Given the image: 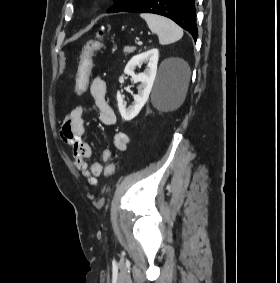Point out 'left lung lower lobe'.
<instances>
[{
	"label": "left lung lower lobe",
	"mask_w": 280,
	"mask_h": 283,
	"mask_svg": "<svg viewBox=\"0 0 280 283\" xmlns=\"http://www.w3.org/2000/svg\"><path fill=\"white\" fill-rule=\"evenodd\" d=\"M125 12H144L166 16L175 21L197 39L194 0H138Z\"/></svg>",
	"instance_id": "obj_1"
}]
</instances>
